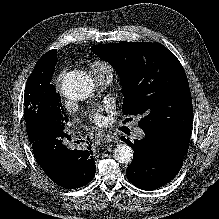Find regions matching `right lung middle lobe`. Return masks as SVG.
Instances as JSON below:
<instances>
[{
  "label": "right lung middle lobe",
  "mask_w": 219,
  "mask_h": 219,
  "mask_svg": "<svg viewBox=\"0 0 219 219\" xmlns=\"http://www.w3.org/2000/svg\"><path fill=\"white\" fill-rule=\"evenodd\" d=\"M56 63L54 54H44L27 80L24 94L26 125L45 118L55 121L64 129L67 126L69 119L62 107L60 95L50 83Z\"/></svg>",
  "instance_id": "obj_1"
}]
</instances>
